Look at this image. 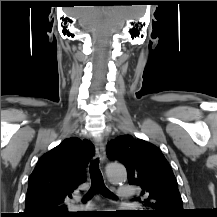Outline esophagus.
Returning <instances> with one entry per match:
<instances>
[{"label":"esophagus","mask_w":217,"mask_h":217,"mask_svg":"<svg viewBox=\"0 0 217 217\" xmlns=\"http://www.w3.org/2000/svg\"><path fill=\"white\" fill-rule=\"evenodd\" d=\"M95 150H96V155L99 158L100 162L103 163L106 158V153H105V146L102 139H97L95 141Z\"/></svg>","instance_id":"1"}]
</instances>
